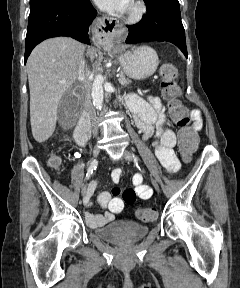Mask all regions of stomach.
<instances>
[{"label": "stomach", "instance_id": "0dacf381", "mask_svg": "<svg viewBox=\"0 0 240 288\" xmlns=\"http://www.w3.org/2000/svg\"><path fill=\"white\" fill-rule=\"evenodd\" d=\"M123 72L132 79L142 80L150 77L157 69L159 59L156 51L141 46L118 56Z\"/></svg>", "mask_w": 240, "mask_h": 288}]
</instances>
